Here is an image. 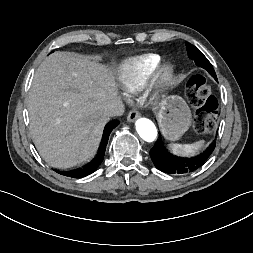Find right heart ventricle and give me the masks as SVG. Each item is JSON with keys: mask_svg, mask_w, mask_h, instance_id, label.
Here are the masks:
<instances>
[{"mask_svg": "<svg viewBox=\"0 0 253 253\" xmlns=\"http://www.w3.org/2000/svg\"><path fill=\"white\" fill-rule=\"evenodd\" d=\"M161 61L160 55L147 53L123 61L118 68V78L127 92L140 91L149 81Z\"/></svg>", "mask_w": 253, "mask_h": 253, "instance_id": "e07e8e85", "label": "right heart ventricle"}]
</instances>
